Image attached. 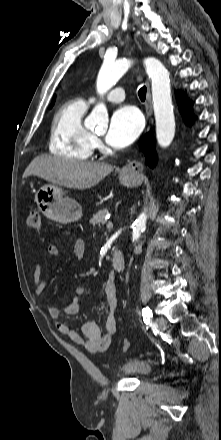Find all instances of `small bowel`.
<instances>
[{
	"label": "small bowel",
	"mask_w": 221,
	"mask_h": 440,
	"mask_svg": "<svg viewBox=\"0 0 221 440\" xmlns=\"http://www.w3.org/2000/svg\"><path fill=\"white\" fill-rule=\"evenodd\" d=\"M65 235L71 234L69 231L63 232ZM75 237L74 258L81 261L86 253V245L83 239ZM60 255L59 248L55 244H50L47 248L45 260H56ZM51 274V267H42L38 264L33 273L34 290L37 294L43 292L46 280ZM102 292L105 295L108 306V315L105 321V333L102 334L97 324L93 321H86L82 325V335L72 329L66 322L59 320L60 312L57 307L49 308V315L55 320L57 330L66 335L75 344L83 346L88 352L96 353L107 350L117 332L116 309L118 305L116 280L113 274H109L99 285L92 287L77 286L74 289L73 298L65 307V315L74 316L79 312L81 302L87 296Z\"/></svg>",
	"instance_id": "c3829d8e"
}]
</instances>
